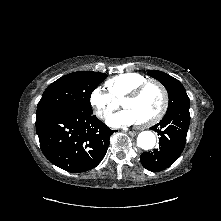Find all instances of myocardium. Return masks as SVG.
I'll use <instances>...</instances> for the list:
<instances>
[{
  "instance_id": "1",
  "label": "myocardium",
  "mask_w": 221,
  "mask_h": 221,
  "mask_svg": "<svg viewBox=\"0 0 221 221\" xmlns=\"http://www.w3.org/2000/svg\"><path fill=\"white\" fill-rule=\"evenodd\" d=\"M150 85L156 86L158 88V90L160 91L161 96H162V105H161L159 111L154 116H152L151 118H149L143 122H139V125L141 127H150L152 125H155L166 114L167 109H168V105H169V97H168V92H167L166 88L158 81L146 80V81L142 82L141 84H139L137 87H135L122 100V104H123V102L126 100L138 98L142 94V92Z\"/></svg>"
}]
</instances>
